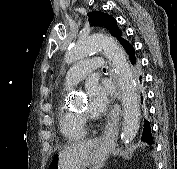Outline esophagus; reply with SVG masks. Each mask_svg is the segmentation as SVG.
Returning a JSON list of instances; mask_svg holds the SVG:
<instances>
[{"instance_id": "esophagus-1", "label": "esophagus", "mask_w": 177, "mask_h": 169, "mask_svg": "<svg viewBox=\"0 0 177 169\" xmlns=\"http://www.w3.org/2000/svg\"><path fill=\"white\" fill-rule=\"evenodd\" d=\"M112 100H113V104H116L117 97H112ZM115 122H116V120L114 118V111H112V117L108 121V123L106 124L105 130L102 134V138H105L106 136H108L111 133L112 129L115 126Z\"/></svg>"}]
</instances>
